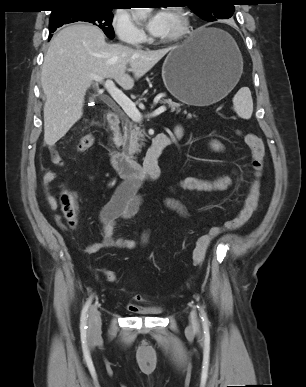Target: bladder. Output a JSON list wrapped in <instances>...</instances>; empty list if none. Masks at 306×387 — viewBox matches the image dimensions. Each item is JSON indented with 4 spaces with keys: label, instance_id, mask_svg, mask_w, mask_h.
Wrapping results in <instances>:
<instances>
[{
    "label": "bladder",
    "instance_id": "obj_1",
    "mask_svg": "<svg viewBox=\"0 0 306 387\" xmlns=\"http://www.w3.org/2000/svg\"><path fill=\"white\" fill-rule=\"evenodd\" d=\"M132 312L139 315L156 317L162 314L163 310L160 306L157 305H146L139 306L138 310H133Z\"/></svg>",
    "mask_w": 306,
    "mask_h": 387
}]
</instances>
